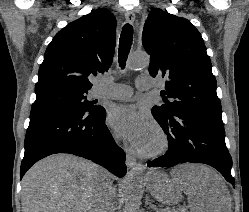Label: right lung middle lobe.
Listing matches in <instances>:
<instances>
[{
	"mask_svg": "<svg viewBox=\"0 0 249 212\" xmlns=\"http://www.w3.org/2000/svg\"><path fill=\"white\" fill-rule=\"evenodd\" d=\"M85 91H54L36 96L32 109L68 108L93 113L98 110L92 101L86 98Z\"/></svg>",
	"mask_w": 249,
	"mask_h": 212,
	"instance_id": "1",
	"label": "right lung middle lobe"
}]
</instances>
